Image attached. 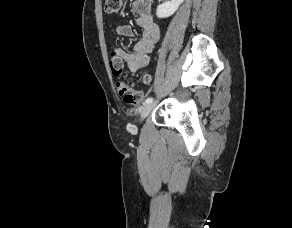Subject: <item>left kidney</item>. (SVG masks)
Returning <instances> with one entry per match:
<instances>
[{
    "mask_svg": "<svg viewBox=\"0 0 292 228\" xmlns=\"http://www.w3.org/2000/svg\"><path fill=\"white\" fill-rule=\"evenodd\" d=\"M183 1L184 0H171L159 5L156 11L157 17L167 18L173 15Z\"/></svg>",
    "mask_w": 292,
    "mask_h": 228,
    "instance_id": "5707ae66",
    "label": "left kidney"
}]
</instances>
